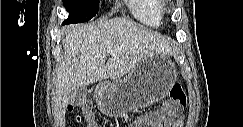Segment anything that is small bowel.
Listing matches in <instances>:
<instances>
[{
    "label": "small bowel",
    "instance_id": "1",
    "mask_svg": "<svg viewBox=\"0 0 243 127\" xmlns=\"http://www.w3.org/2000/svg\"><path fill=\"white\" fill-rule=\"evenodd\" d=\"M147 119L145 118H141L138 121H136L135 123H133L131 125V127H141V126H149L147 123H145ZM184 120H185V116L182 115L173 125L174 127H182L184 125ZM92 124V126L90 127H97V124L92 120L90 122Z\"/></svg>",
    "mask_w": 243,
    "mask_h": 127
}]
</instances>
